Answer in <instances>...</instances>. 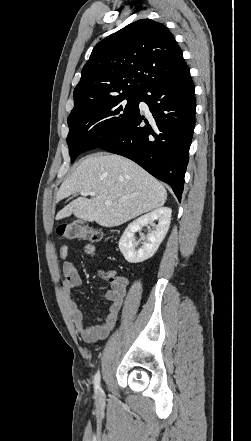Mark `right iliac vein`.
<instances>
[{
  "mask_svg": "<svg viewBox=\"0 0 251 441\" xmlns=\"http://www.w3.org/2000/svg\"><path fill=\"white\" fill-rule=\"evenodd\" d=\"M98 397H99L100 400L102 399V395H101L100 392L98 393Z\"/></svg>",
  "mask_w": 251,
  "mask_h": 441,
  "instance_id": "right-iliac-vein-1",
  "label": "right iliac vein"
}]
</instances>
